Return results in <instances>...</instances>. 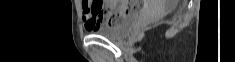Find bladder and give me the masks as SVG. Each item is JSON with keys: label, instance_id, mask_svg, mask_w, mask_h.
<instances>
[{"label": "bladder", "instance_id": "1", "mask_svg": "<svg viewBox=\"0 0 235 62\" xmlns=\"http://www.w3.org/2000/svg\"><path fill=\"white\" fill-rule=\"evenodd\" d=\"M136 21V15H130L115 24L101 25L93 32L109 40H118L125 37Z\"/></svg>", "mask_w": 235, "mask_h": 62}]
</instances>
